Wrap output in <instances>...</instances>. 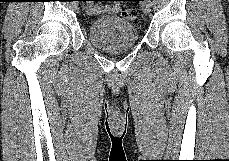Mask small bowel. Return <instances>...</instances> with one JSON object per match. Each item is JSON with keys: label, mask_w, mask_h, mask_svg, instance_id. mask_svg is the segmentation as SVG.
Here are the masks:
<instances>
[{"label": "small bowel", "mask_w": 229, "mask_h": 161, "mask_svg": "<svg viewBox=\"0 0 229 161\" xmlns=\"http://www.w3.org/2000/svg\"><path fill=\"white\" fill-rule=\"evenodd\" d=\"M120 9V4L119 2H115L114 4H112L111 6H108V7H105V8H102V9H99L97 7H94V6H91L90 7V11L91 12H98L100 10H104V11H107L108 13H116L118 12Z\"/></svg>", "instance_id": "c3829d8e"}]
</instances>
